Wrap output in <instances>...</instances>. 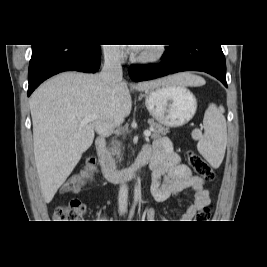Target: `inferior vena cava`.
Returning <instances> with one entry per match:
<instances>
[{"mask_svg": "<svg viewBox=\"0 0 267 267\" xmlns=\"http://www.w3.org/2000/svg\"><path fill=\"white\" fill-rule=\"evenodd\" d=\"M100 77L107 83L114 84L122 80L120 50L116 47L106 48L104 51V66ZM118 203L120 211H125L128 204V186L122 183L119 189Z\"/></svg>", "mask_w": 267, "mask_h": 267, "instance_id": "602c4592", "label": "inferior vena cava"}]
</instances>
